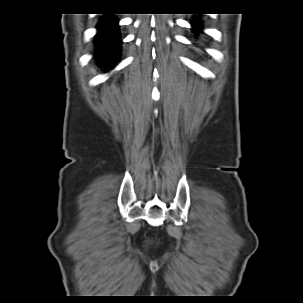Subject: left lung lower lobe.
Returning a JSON list of instances; mask_svg holds the SVG:
<instances>
[{
  "instance_id": "obj_1",
  "label": "left lung lower lobe",
  "mask_w": 303,
  "mask_h": 303,
  "mask_svg": "<svg viewBox=\"0 0 303 303\" xmlns=\"http://www.w3.org/2000/svg\"><path fill=\"white\" fill-rule=\"evenodd\" d=\"M192 25H193V27H194V30H196V31H197V30H198V28H199V27H198V23H197V22H194Z\"/></svg>"
}]
</instances>
